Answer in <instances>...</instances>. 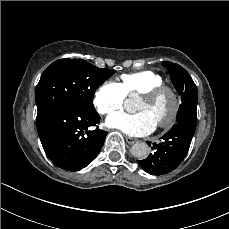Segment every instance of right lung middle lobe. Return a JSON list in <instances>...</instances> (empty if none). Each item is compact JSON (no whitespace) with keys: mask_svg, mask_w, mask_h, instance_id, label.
I'll return each instance as SVG.
<instances>
[{"mask_svg":"<svg viewBox=\"0 0 229 229\" xmlns=\"http://www.w3.org/2000/svg\"><path fill=\"white\" fill-rule=\"evenodd\" d=\"M113 74V70L95 67L82 59L53 62L43 72L36 87L37 124L65 105L96 112L92 103L94 92Z\"/></svg>","mask_w":229,"mask_h":229,"instance_id":"1","label":"right lung middle lobe"}]
</instances>
